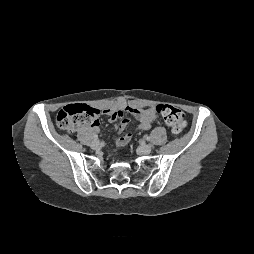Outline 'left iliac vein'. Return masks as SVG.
<instances>
[{
	"label": "left iliac vein",
	"instance_id": "1",
	"mask_svg": "<svg viewBox=\"0 0 254 254\" xmlns=\"http://www.w3.org/2000/svg\"><path fill=\"white\" fill-rule=\"evenodd\" d=\"M140 151L143 154H149L152 151V147L148 144H143L140 146Z\"/></svg>",
	"mask_w": 254,
	"mask_h": 254
}]
</instances>
